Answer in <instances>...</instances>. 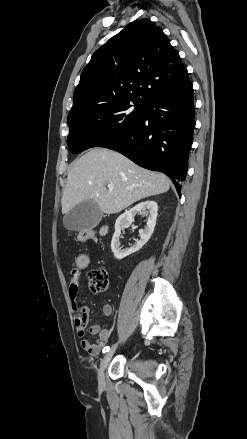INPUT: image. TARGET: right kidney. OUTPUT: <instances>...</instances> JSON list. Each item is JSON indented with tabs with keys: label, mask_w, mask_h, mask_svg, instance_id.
<instances>
[{
	"label": "right kidney",
	"mask_w": 247,
	"mask_h": 439,
	"mask_svg": "<svg viewBox=\"0 0 247 439\" xmlns=\"http://www.w3.org/2000/svg\"><path fill=\"white\" fill-rule=\"evenodd\" d=\"M157 212V203L155 201L148 200L137 204L130 210L125 211L117 218L115 222V232L111 241V249L116 259L120 260L130 254L137 252L148 242L154 232ZM137 213H141L142 215L148 217L147 226L143 230H139L140 240L134 246H131L128 249H122L121 243L119 241L121 230L132 224V222L134 221V217Z\"/></svg>",
	"instance_id": "obj_1"
}]
</instances>
